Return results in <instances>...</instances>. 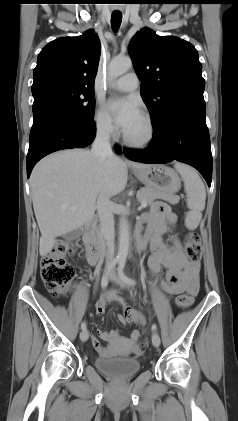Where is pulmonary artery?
Instances as JSON below:
<instances>
[{
  "label": "pulmonary artery",
  "mask_w": 238,
  "mask_h": 421,
  "mask_svg": "<svg viewBox=\"0 0 238 421\" xmlns=\"http://www.w3.org/2000/svg\"><path fill=\"white\" fill-rule=\"evenodd\" d=\"M139 85V79L133 72L127 73L113 82L112 87L119 91H134Z\"/></svg>",
  "instance_id": "1"
}]
</instances>
